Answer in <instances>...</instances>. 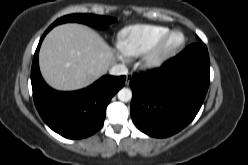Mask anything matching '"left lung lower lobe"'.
<instances>
[{"label": "left lung lower lobe", "mask_w": 248, "mask_h": 165, "mask_svg": "<svg viewBox=\"0 0 248 165\" xmlns=\"http://www.w3.org/2000/svg\"><path fill=\"white\" fill-rule=\"evenodd\" d=\"M207 47L195 43L160 68L130 80V113L139 130L168 137L187 126L202 106L210 82Z\"/></svg>", "instance_id": "obj_1"}]
</instances>
